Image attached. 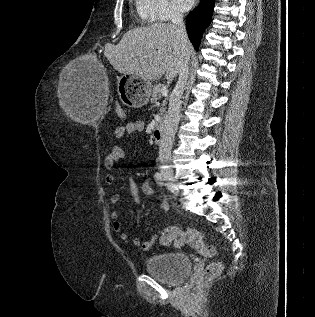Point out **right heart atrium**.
<instances>
[{
    "label": "right heart atrium",
    "mask_w": 315,
    "mask_h": 317,
    "mask_svg": "<svg viewBox=\"0 0 315 317\" xmlns=\"http://www.w3.org/2000/svg\"><path fill=\"white\" fill-rule=\"evenodd\" d=\"M146 13L152 21H166L178 16L169 0H141Z\"/></svg>",
    "instance_id": "d8ad5b80"
}]
</instances>
